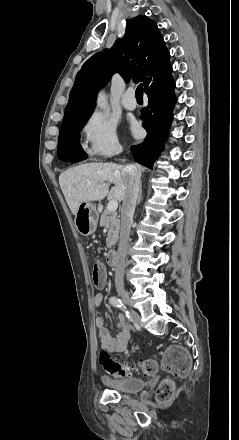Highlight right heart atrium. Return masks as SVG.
Listing matches in <instances>:
<instances>
[{
  "instance_id": "obj_1",
  "label": "right heart atrium",
  "mask_w": 239,
  "mask_h": 440,
  "mask_svg": "<svg viewBox=\"0 0 239 440\" xmlns=\"http://www.w3.org/2000/svg\"><path fill=\"white\" fill-rule=\"evenodd\" d=\"M81 132L87 157L110 158L120 152L117 127L105 113L92 112L83 123Z\"/></svg>"
}]
</instances>
